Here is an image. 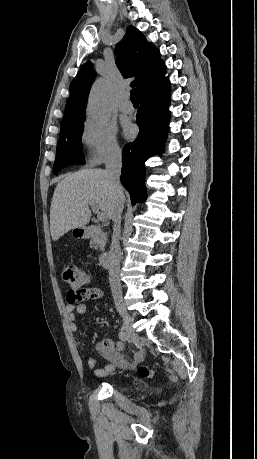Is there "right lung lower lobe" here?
<instances>
[{"instance_id": "obj_1", "label": "right lung lower lobe", "mask_w": 257, "mask_h": 459, "mask_svg": "<svg viewBox=\"0 0 257 459\" xmlns=\"http://www.w3.org/2000/svg\"><path fill=\"white\" fill-rule=\"evenodd\" d=\"M169 79L162 76L140 93L136 123L140 128L137 139L124 147L121 183L134 205L145 194V161L162 152L170 112Z\"/></svg>"}]
</instances>
